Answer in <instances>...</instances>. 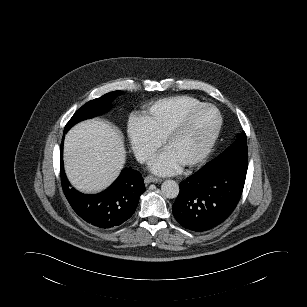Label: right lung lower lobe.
<instances>
[{
  "mask_svg": "<svg viewBox=\"0 0 307 307\" xmlns=\"http://www.w3.org/2000/svg\"><path fill=\"white\" fill-rule=\"evenodd\" d=\"M63 139L60 150V174L63 191L73 210L83 220L101 229L114 228L127 221L135 212L139 197L145 191L141 174L125 168L105 191L95 195L82 194L70 187L64 173Z\"/></svg>",
  "mask_w": 307,
  "mask_h": 307,
  "instance_id": "98d812e1",
  "label": "right lung lower lobe"
}]
</instances>
